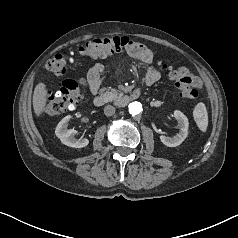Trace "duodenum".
I'll use <instances>...</instances> for the list:
<instances>
[{"mask_svg":"<svg viewBox=\"0 0 238 238\" xmlns=\"http://www.w3.org/2000/svg\"><path fill=\"white\" fill-rule=\"evenodd\" d=\"M137 97H138V93H136V92L125 95V96H123L122 98H120L118 100V105L121 106V107H124L128 103H130L131 101L137 99ZM93 102L96 106H102L106 102V98H105L104 95L100 94V95L95 96Z\"/></svg>","mask_w":238,"mask_h":238,"instance_id":"duodenum-1","label":"duodenum"}]
</instances>
